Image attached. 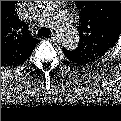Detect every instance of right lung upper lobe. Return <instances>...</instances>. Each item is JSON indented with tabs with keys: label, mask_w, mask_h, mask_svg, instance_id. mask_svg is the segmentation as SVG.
<instances>
[{
	"label": "right lung upper lobe",
	"mask_w": 121,
	"mask_h": 121,
	"mask_svg": "<svg viewBox=\"0 0 121 121\" xmlns=\"http://www.w3.org/2000/svg\"><path fill=\"white\" fill-rule=\"evenodd\" d=\"M2 21H3V20H2ZM1 25H2V24H1ZM16 26H18V24H17ZM2 37H3V36L1 35V39H2ZM6 40H7V38H6Z\"/></svg>",
	"instance_id": "obj_1"
}]
</instances>
